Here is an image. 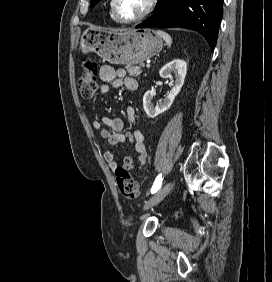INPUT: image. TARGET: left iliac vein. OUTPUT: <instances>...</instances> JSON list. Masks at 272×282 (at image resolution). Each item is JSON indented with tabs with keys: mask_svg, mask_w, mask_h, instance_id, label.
I'll return each mask as SVG.
<instances>
[{
	"mask_svg": "<svg viewBox=\"0 0 272 282\" xmlns=\"http://www.w3.org/2000/svg\"><path fill=\"white\" fill-rule=\"evenodd\" d=\"M171 188H172V182H168L165 185H163L161 189L145 203L143 209L148 210L149 208L158 204L162 199H164L167 196Z\"/></svg>",
	"mask_w": 272,
	"mask_h": 282,
	"instance_id": "4c4485c4",
	"label": "left iliac vein"
}]
</instances>
